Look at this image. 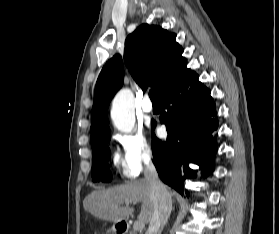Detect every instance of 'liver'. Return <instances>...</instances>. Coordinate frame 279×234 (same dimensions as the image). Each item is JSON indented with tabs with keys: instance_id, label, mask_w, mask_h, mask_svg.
<instances>
[{
	"instance_id": "obj_1",
	"label": "liver",
	"mask_w": 279,
	"mask_h": 234,
	"mask_svg": "<svg viewBox=\"0 0 279 234\" xmlns=\"http://www.w3.org/2000/svg\"><path fill=\"white\" fill-rule=\"evenodd\" d=\"M169 194L171 197L177 195L171 190ZM138 202L142 203L138 219L144 223L150 222L153 214V200L151 186L145 179L93 191L84 199L83 206L85 211L98 219L119 223L134 212V208L129 207V204ZM124 204L126 206H123Z\"/></svg>"
}]
</instances>
